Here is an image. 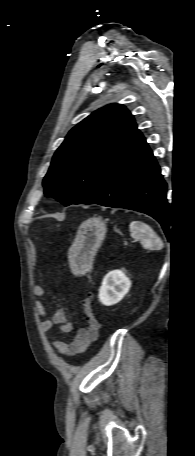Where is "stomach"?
<instances>
[{"instance_id": "1", "label": "stomach", "mask_w": 195, "mask_h": 456, "mask_svg": "<svg viewBox=\"0 0 195 456\" xmlns=\"http://www.w3.org/2000/svg\"><path fill=\"white\" fill-rule=\"evenodd\" d=\"M106 231V224L99 217H92L81 223L68 253L69 263L75 274H84L91 269Z\"/></svg>"}]
</instances>
